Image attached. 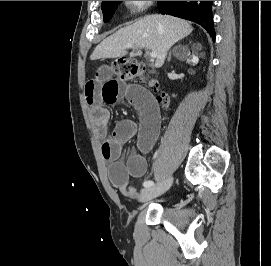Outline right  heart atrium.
<instances>
[{"instance_id":"obj_1","label":"right heart atrium","mask_w":271,"mask_h":266,"mask_svg":"<svg viewBox=\"0 0 271 266\" xmlns=\"http://www.w3.org/2000/svg\"><path fill=\"white\" fill-rule=\"evenodd\" d=\"M152 1H125L129 10L133 13H138L147 8Z\"/></svg>"}]
</instances>
